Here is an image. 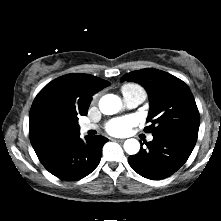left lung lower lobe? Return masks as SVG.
Returning <instances> with one entry per match:
<instances>
[{
  "instance_id": "obj_1",
  "label": "left lung lower lobe",
  "mask_w": 221,
  "mask_h": 221,
  "mask_svg": "<svg viewBox=\"0 0 221 221\" xmlns=\"http://www.w3.org/2000/svg\"><path fill=\"white\" fill-rule=\"evenodd\" d=\"M145 144L148 149L141 148L138 154L130 156L129 164L139 175L160 180L187 161L196 141L178 133H163L153 135V140Z\"/></svg>"
}]
</instances>
